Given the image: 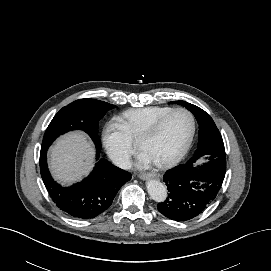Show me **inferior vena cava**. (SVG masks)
Wrapping results in <instances>:
<instances>
[{
	"mask_svg": "<svg viewBox=\"0 0 271 271\" xmlns=\"http://www.w3.org/2000/svg\"><path fill=\"white\" fill-rule=\"evenodd\" d=\"M111 160L116 166L122 169H130L132 167L131 159L127 154H114L111 156Z\"/></svg>",
	"mask_w": 271,
	"mask_h": 271,
	"instance_id": "inferior-vena-cava-1",
	"label": "inferior vena cava"
}]
</instances>
